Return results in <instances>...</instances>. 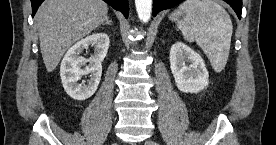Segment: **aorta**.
<instances>
[{"label":"aorta","instance_id":"762f6f07","mask_svg":"<svg viewBox=\"0 0 276 145\" xmlns=\"http://www.w3.org/2000/svg\"><path fill=\"white\" fill-rule=\"evenodd\" d=\"M136 11L143 23L150 20L152 12V0H135Z\"/></svg>","mask_w":276,"mask_h":145}]
</instances>
